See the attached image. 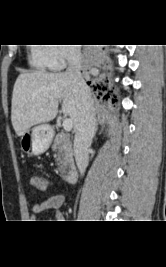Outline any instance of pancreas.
I'll list each match as a JSON object with an SVG mask.
<instances>
[{"label":"pancreas","instance_id":"cf45deb5","mask_svg":"<svg viewBox=\"0 0 166 267\" xmlns=\"http://www.w3.org/2000/svg\"><path fill=\"white\" fill-rule=\"evenodd\" d=\"M52 150L57 152L56 162L61 175L64 177L67 170L74 167L70 137L64 132L58 133L53 141Z\"/></svg>","mask_w":166,"mask_h":267}]
</instances>
